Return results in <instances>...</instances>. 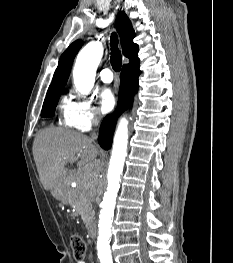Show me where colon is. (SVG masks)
Wrapping results in <instances>:
<instances>
[{
	"label": "colon",
	"instance_id": "colon-1",
	"mask_svg": "<svg viewBox=\"0 0 233 263\" xmlns=\"http://www.w3.org/2000/svg\"><path fill=\"white\" fill-rule=\"evenodd\" d=\"M70 242L74 259L76 261L83 260L87 252V246L84 239L79 234H72L70 236Z\"/></svg>",
	"mask_w": 233,
	"mask_h": 263
}]
</instances>
